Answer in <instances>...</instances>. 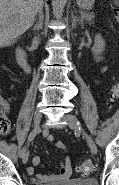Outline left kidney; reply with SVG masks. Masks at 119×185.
Listing matches in <instances>:
<instances>
[{
  "instance_id": "5707ae66",
  "label": "left kidney",
  "mask_w": 119,
  "mask_h": 185,
  "mask_svg": "<svg viewBox=\"0 0 119 185\" xmlns=\"http://www.w3.org/2000/svg\"><path fill=\"white\" fill-rule=\"evenodd\" d=\"M104 49H105V41L100 34H97L95 36L94 46L91 49L96 61H100L102 59L100 55L102 54Z\"/></svg>"
}]
</instances>
